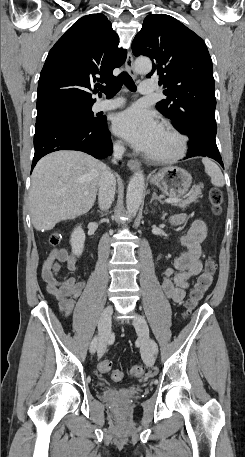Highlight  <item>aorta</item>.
Instances as JSON below:
<instances>
[{
	"mask_svg": "<svg viewBox=\"0 0 245 457\" xmlns=\"http://www.w3.org/2000/svg\"><path fill=\"white\" fill-rule=\"evenodd\" d=\"M152 69V63L148 58H138L135 61V70L140 74H147ZM144 191V174L137 171L130 179L126 194V208L130 215L136 214L142 202Z\"/></svg>",
	"mask_w": 245,
	"mask_h": 457,
	"instance_id": "obj_1",
	"label": "aorta"
}]
</instances>
